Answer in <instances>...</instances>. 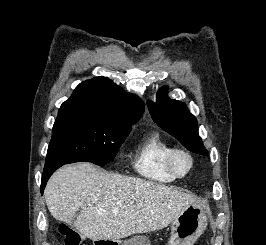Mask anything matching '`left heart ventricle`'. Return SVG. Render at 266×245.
Segmentation results:
<instances>
[{
  "instance_id": "obj_1",
  "label": "left heart ventricle",
  "mask_w": 266,
  "mask_h": 245,
  "mask_svg": "<svg viewBox=\"0 0 266 245\" xmlns=\"http://www.w3.org/2000/svg\"><path fill=\"white\" fill-rule=\"evenodd\" d=\"M176 167L180 174L186 173L189 168V160L185 156H179L176 160Z\"/></svg>"
}]
</instances>
